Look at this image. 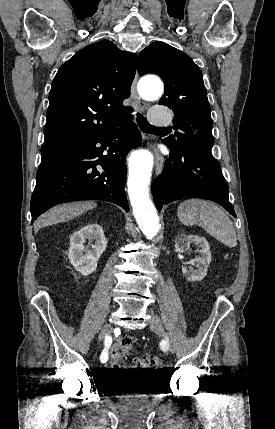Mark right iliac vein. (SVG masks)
I'll use <instances>...</instances> for the list:
<instances>
[{
    "label": "right iliac vein",
    "instance_id": "obj_1",
    "mask_svg": "<svg viewBox=\"0 0 275 429\" xmlns=\"http://www.w3.org/2000/svg\"><path fill=\"white\" fill-rule=\"evenodd\" d=\"M113 330V327L110 323L106 324L100 334H99V341H102L107 335H109Z\"/></svg>",
    "mask_w": 275,
    "mask_h": 429
}]
</instances>
